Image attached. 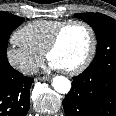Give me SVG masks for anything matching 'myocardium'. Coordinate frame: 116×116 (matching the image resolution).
<instances>
[{"label":"myocardium","mask_w":116,"mask_h":116,"mask_svg":"<svg viewBox=\"0 0 116 116\" xmlns=\"http://www.w3.org/2000/svg\"><path fill=\"white\" fill-rule=\"evenodd\" d=\"M73 25L83 26L88 31L90 35V46L86 57L79 65L71 69L63 70V72L67 75H76L83 72L93 61L97 49V37L93 27L82 20H69L60 25L54 32L47 48L44 51L45 58L49 59V55L57 48L64 31Z\"/></svg>","instance_id":"1"}]
</instances>
